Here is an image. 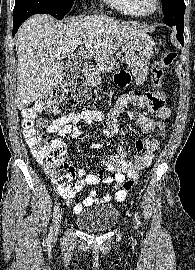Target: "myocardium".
Here are the masks:
<instances>
[{"instance_id": "obj_1", "label": "myocardium", "mask_w": 195, "mask_h": 270, "mask_svg": "<svg viewBox=\"0 0 195 270\" xmlns=\"http://www.w3.org/2000/svg\"><path fill=\"white\" fill-rule=\"evenodd\" d=\"M139 8L146 14H153L160 7V0H137Z\"/></svg>"}]
</instances>
